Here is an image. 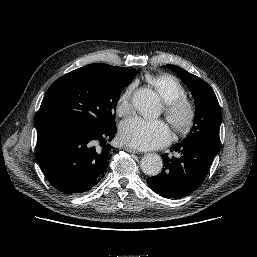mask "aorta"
<instances>
[{"mask_svg": "<svg viewBox=\"0 0 257 257\" xmlns=\"http://www.w3.org/2000/svg\"><path fill=\"white\" fill-rule=\"evenodd\" d=\"M135 109L144 116L153 115L160 106L159 96L151 89L140 88L132 98ZM163 162L158 154L150 153L141 159V169L149 176H156L162 171Z\"/></svg>", "mask_w": 257, "mask_h": 257, "instance_id": "1", "label": "aorta"}]
</instances>
